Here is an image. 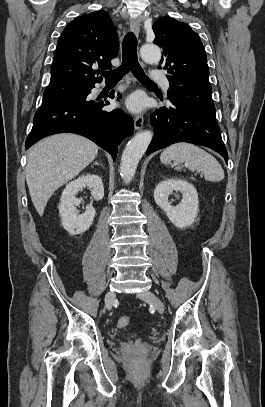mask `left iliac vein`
<instances>
[{
  "label": "left iliac vein",
  "mask_w": 265,
  "mask_h": 407,
  "mask_svg": "<svg viewBox=\"0 0 265 407\" xmlns=\"http://www.w3.org/2000/svg\"><path fill=\"white\" fill-rule=\"evenodd\" d=\"M138 297L150 304H152L159 313H164L165 306L161 299L150 290H143L138 294Z\"/></svg>",
  "instance_id": "obj_1"
}]
</instances>
